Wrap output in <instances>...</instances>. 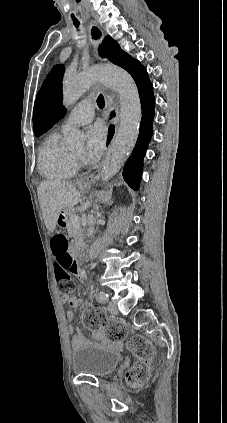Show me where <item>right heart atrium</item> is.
<instances>
[{
  "mask_svg": "<svg viewBox=\"0 0 227 423\" xmlns=\"http://www.w3.org/2000/svg\"><path fill=\"white\" fill-rule=\"evenodd\" d=\"M81 168V164L78 160H74V172L78 171Z\"/></svg>",
  "mask_w": 227,
  "mask_h": 423,
  "instance_id": "1",
  "label": "right heart atrium"
}]
</instances>
